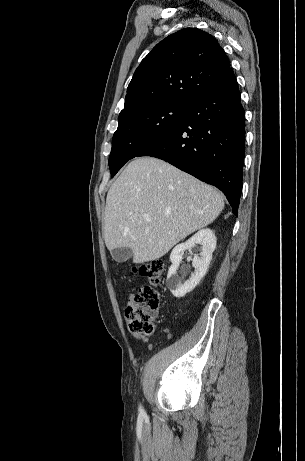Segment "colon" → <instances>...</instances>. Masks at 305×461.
I'll list each match as a JSON object with an SVG mask.
<instances>
[{"mask_svg": "<svg viewBox=\"0 0 305 461\" xmlns=\"http://www.w3.org/2000/svg\"><path fill=\"white\" fill-rule=\"evenodd\" d=\"M162 260H152L137 268V272L147 278L151 285L142 286L125 309L129 330L135 334L150 335L159 320L160 295L154 285H158L165 271Z\"/></svg>", "mask_w": 305, "mask_h": 461, "instance_id": "colon-1", "label": "colon"}]
</instances>
